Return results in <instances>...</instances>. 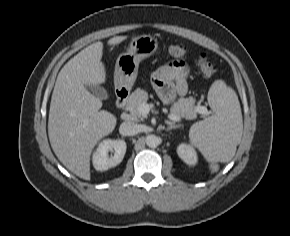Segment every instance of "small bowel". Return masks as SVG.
Listing matches in <instances>:
<instances>
[{"label":"small bowel","mask_w":290,"mask_h":236,"mask_svg":"<svg viewBox=\"0 0 290 236\" xmlns=\"http://www.w3.org/2000/svg\"><path fill=\"white\" fill-rule=\"evenodd\" d=\"M189 68L181 62L160 66L152 74V82L162 101L169 105L177 97H184L188 90Z\"/></svg>","instance_id":"c3829d8e"}]
</instances>
